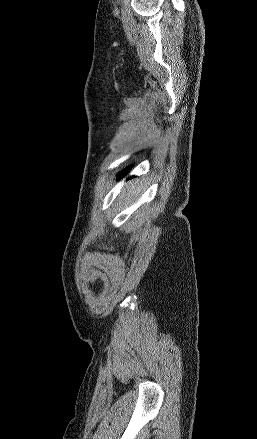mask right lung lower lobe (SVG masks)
<instances>
[{
  "label": "right lung lower lobe",
  "instance_id": "right-lung-lower-lobe-1",
  "mask_svg": "<svg viewBox=\"0 0 257 439\" xmlns=\"http://www.w3.org/2000/svg\"><path fill=\"white\" fill-rule=\"evenodd\" d=\"M130 168H131V166L127 170L125 169V170L121 171L120 173H118L117 178L120 179V178L124 177Z\"/></svg>",
  "mask_w": 257,
  "mask_h": 439
}]
</instances>
